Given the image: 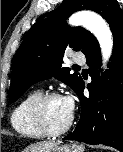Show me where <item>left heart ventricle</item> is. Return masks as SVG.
I'll use <instances>...</instances> for the list:
<instances>
[{"label":"left heart ventricle","mask_w":123,"mask_h":152,"mask_svg":"<svg viewBox=\"0 0 123 152\" xmlns=\"http://www.w3.org/2000/svg\"><path fill=\"white\" fill-rule=\"evenodd\" d=\"M71 113L68 111L63 98L51 100L46 108V117L52 129L63 127L69 120Z\"/></svg>","instance_id":"b2bd125f"}]
</instances>
